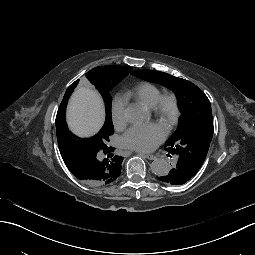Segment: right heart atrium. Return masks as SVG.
Wrapping results in <instances>:
<instances>
[{
    "label": "right heart atrium",
    "mask_w": 255,
    "mask_h": 255,
    "mask_svg": "<svg viewBox=\"0 0 255 255\" xmlns=\"http://www.w3.org/2000/svg\"><path fill=\"white\" fill-rule=\"evenodd\" d=\"M111 120L114 127L118 130L123 129L127 124L126 111L121 100L115 99L111 105Z\"/></svg>",
    "instance_id": "obj_1"
}]
</instances>
